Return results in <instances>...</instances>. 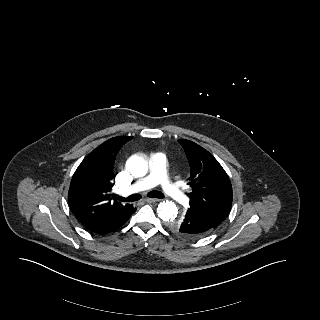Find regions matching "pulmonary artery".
Here are the masks:
<instances>
[{
    "instance_id": "obj_1",
    "label": "pulmonary artery",
    "mask_w": 320,
    "mask_h": 320,
    "mask_svg": "<svg viewBox=\"0 0 320 320\" xmlns=\"http://www.w3.org/2000/svg\"><path fill=\"white\" fill-rule=\"evenodd\" d=\"M166 156L163 153H154L150 155L149 166L150 173L148 176L139 179L133 185L123 191L124 194H131L150 189L156 185H161L165 193L179 203L188 200L179 186L172 182L166 171Z\"/></svg>"
}]
</instances>
